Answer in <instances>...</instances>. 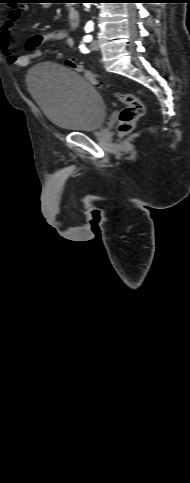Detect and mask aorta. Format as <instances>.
I'll return each instance as SVG.
<instances>
[{"label": "aorta", "mask_w": 190, "mask_h": 483, "mask_svg": "<svg viewBox=\"0 0 190 483\" xmlns=\"http://www.w3.org/2000/svg\"><path fill=\"white\" fill-rule=\"evenodd\" d=\"M90 4H91V3H84V5H85L86 9H89V8H90Z\"/></svg>", "instance_id": "1"}]
</instances>
